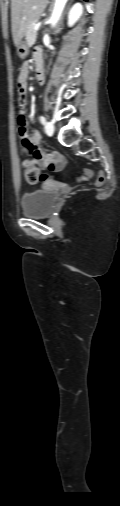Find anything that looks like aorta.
Listing matches in <instances>:
<instances>
[{
	"instance_id": "aorta-1",
	"label": "aorta",
	"mask_w": 120,
	"mask_h": 506,
	"mask_svg": "<svg viewBox=\"0 0 120 506\" xmlns=\"http://www.w3.org/2000/svg\"><path fill=\"white\" fill-rule=\"evenodd\" d=\"M66 2L67 0H55V5L50 18V24L52 27H55L58 23Z\"/></svg>"
}]
</instances>
